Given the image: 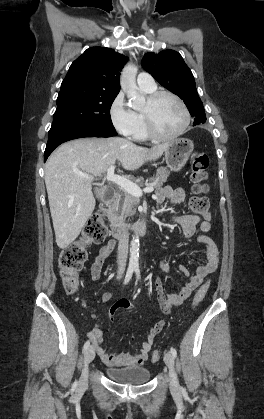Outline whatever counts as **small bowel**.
Returning <instances> with one entry per match:
<instances>
[{
  "label": "small bowel",
  "instance_id": "small-bowel-1",
  "mask_svg": "<svg viewBox=\"0 0 264 419\" xmlns=\"http://www.w3.org/2000/svg\"><path fill=\"white\" fill-rule=\"evenodd\" d=\"M186 191L184 188H172L165 186L157 191L156 201L163 204L169 201L171 204L176 205L185 200ZM172 220L175 224L179 225L183 231L185 238H191L196 233L197 227L200 233L197 236V242L205 248V262L197 267L194 274H190L185 267H180L181 272L188 277V282L181 288L178 293L166 295L163 290L162 282L159 278L155 279V289L157 299L162 311L169 314L171 309L175 306L182 304L192 292L202 284L204 279L211 274L218 266L219 251L216 244L208 235L211 229V214L205 212L199 215H182L174 216ZM116 242L109 240L103 245L96 255L91 268L90 275L92 280L97 281L101 277V271L106 258L110 255L115 248ZM162 271L169 272L170 268L166 261L160 264ZM111 295L109 292L103 294V300L108 301ZM129 304L126 300H119L115 302L110 310V318L113 319L116 313L122 308H128ZM165 326V321H158L146 334V338L140 346L137 354H115L107 352L103 346V332L100 327H94L89 333L88 337L92 345L101 359V361L110 367H128V366H142L148 359L149 352L152 348L155 337L162 331Z\"/></svg>",
  "mask_w": 264,
  "mask_h": 419
}]
</instances>
